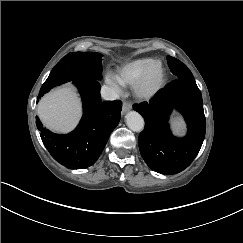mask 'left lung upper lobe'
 <instances>
[{"label": "left lung upper lobe", "instance_id": "left-lung-upper-lobe-1", "mask_svg": "<svg viewBox=\"0 0 243 243\" xmlns=\"http://www.w3.org/2000/svg\"><path fill=\"white\" fill-rule=\"evenodd\" d=\"M167 62L171 72L176 76V79L194 80L191 71L187 68L185 64L180 62L178 59L167 56Z\"/></svg>", "mask_w": 243, "mask_h": 243}]
</instances>
